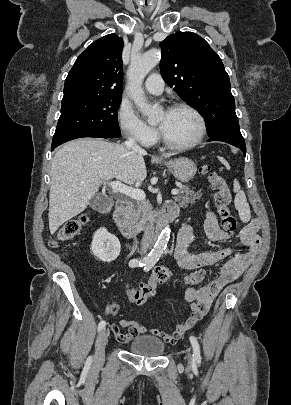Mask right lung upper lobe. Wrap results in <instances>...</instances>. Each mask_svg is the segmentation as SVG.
<instances>
[{"instance_id":"cb5924a9","label":"right lung upper lobe","mask_w":291,"mask_h":405,"mask_svg":"<svg viewBox=\"0 0 291 405\" xmlns=\"http://www.w3.org/2000/svg\"><path fill=\"white\" fill-rule=\"evenodd\" d=\"M123 40L116 34L94 41L68 73L62 102L77 99L122 97Z\"/></svg>"}]
</instances>
